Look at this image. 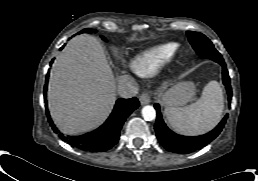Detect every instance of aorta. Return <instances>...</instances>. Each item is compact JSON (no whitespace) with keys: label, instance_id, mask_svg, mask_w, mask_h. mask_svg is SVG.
Listing matches in <instances>:
<instances>
[{"label":"aorta","instance_id":"762f6f07","mask_svg":"<svg viewBox=\"0 0 258 181\" xmlns=\"http://www.w3.org/2000/svg\"><path fill=\"white\" fill-rule=\"evenodd\" d=\"M142 116L147 121H152L156 118V111L153 106L147 105L142 108Z\"/></svg>","mask_w":258,"mask_h":181}]
</instances>
